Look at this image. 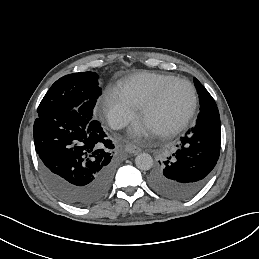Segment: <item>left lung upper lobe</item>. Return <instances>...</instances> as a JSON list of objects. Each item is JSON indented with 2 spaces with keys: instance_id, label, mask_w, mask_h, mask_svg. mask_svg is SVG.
<instances>
[{
  "instance_id": "5c2ea615",
  "label": "left lung upper lobe",
  "mask_w": 259,
  "mask_h": 259,
  "mask_svg": "<svg viewBox=\"0 0 259 259\" xmlns=\"http://www.w3.org/2000/svg\"><path fill=\"white\" fill-rule=\"evenodd\" d=\"M194 83L199 95L200 111L217 107L214 99L211 97L209 92L196 78H194Z\"/></svg>"
}]
</instances>
